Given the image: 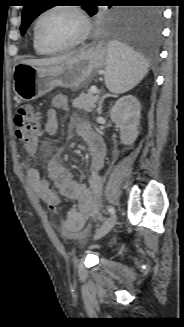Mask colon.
Listing matches in <instances>:
<instances>
[{"mask_svg": "<svg viewBox=\"0 0 184 327\" xmlns=\"http://www.w3.org/2000/svg\"><path fill=\"white\" fill-rule=\"evenodd\" d=\"M16 127V137L23 142H27L34 137L41 125L40 114L31 106L20 107L14 117ZM93 218L99 217V212L95 211L91 214Z\"/></svg>", "mask_w": 184, "mask_h": 327, "instance_id": "obj_1", "label": "colon"}]
</instances>
